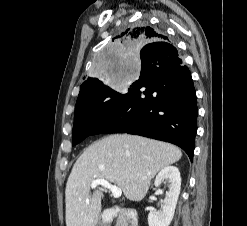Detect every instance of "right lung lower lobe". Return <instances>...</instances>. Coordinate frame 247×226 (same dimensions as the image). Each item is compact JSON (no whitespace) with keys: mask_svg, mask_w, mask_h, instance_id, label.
<instances>
[{"mask_svg":"<svg viewBox=\"0 0 247 226\" xmlns=\"http://www.w3.org/2000/svg\"><path fill=\"white\" fill-rule=\"evenodd\" d=\"M140 55L139 80L92 135L130 133L170 142L192 161L198 109L191 73L168 42L146 44Z\"/></svg>","mask_w":247,"mask_h":226,"instance_id":"1","label":"right lung lower lobe"}]
</instances>
